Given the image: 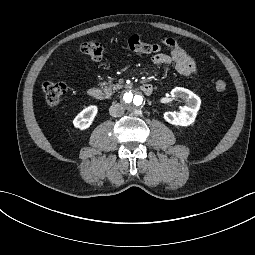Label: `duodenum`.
I'll list each match as a JSON object with an SVG mask.
<instances>
[{
    "label": "duodenum",
    "mask_w": 255,
    "mask_h": 255,
    "mask_svg": "<svg viewBox=\"0 0 255 255\" xmlns=\"http://www.w3.org/2000/svg\"><path fill=\"white\" fill-rule=\"evenodd\" d=\"M141 90L146 94L150 95L153 91V86L149 83H144L141 85ZM88 95L95 100H104L106 98V93L104 90L98 87H91L87 91Z\"/></svg>",
    "instance_id": "obj_1"
}]
</instances>
